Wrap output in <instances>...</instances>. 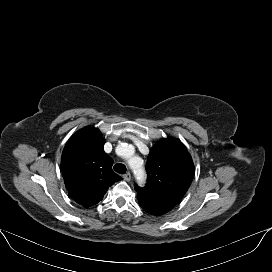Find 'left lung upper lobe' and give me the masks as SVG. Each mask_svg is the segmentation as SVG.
I'll return each mask as SVG.
<instances>
[{
	"instance_id": "1",
	"label": "left lung upper lobe",
	"mask_w": 272,
	"mask_h": 272,
	"mask_svg": "<svg viewBox=\"0 0 272 272\" xmlns=\"http://www.w3.org/2000/svg\"><path fill=\"white\" fill-rule=\"evenodd\" d=\"M146 170L147 184H135L141 208L152 215L170 211L188 190L194 173L192 158L182 142L163 138L151 149Z\"/></svg>"
}]
</instances>
